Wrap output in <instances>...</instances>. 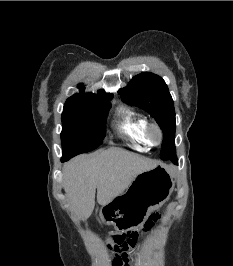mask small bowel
Returning <instances> with one entry per match:
<instances>
[{
    "instance_id": "obj_1",
    "label": "small bowel",
    "mask_w": 233,
    "mask_h": 266,
    "mask_svg": "<svg viewBox=\"0 0 233 266\" xmlns=\"http://www.w3.org/2000/svg\"><path fill=\"white\" fill-rule=\"evenodd\" d=\"M114 262H115V263H114ZM113 266H123V265H121V262H120L119 259H115V258H114V260H113Z\"/></svg>"
}]
</instances>
